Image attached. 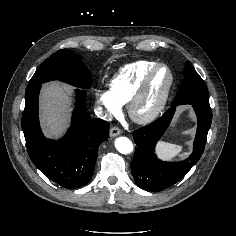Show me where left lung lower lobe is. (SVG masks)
I'll list each match as a JSON object with an SVG mask.
<instances>
[{
	"mask_svg": "<svg viewBox=\"0 0 236 236\" xmlns=\"http://www.w3.org/2000/svg\"><path fill=\"white\" fill-rule=\"evenodd\" d=\"M192 105L197 115L198 127L193 152L184 161L163 162L154 153L155 145L167 129L177 105L172 104L155 122L132 133L136 147L130 167L135 182L141 189L159 192L169 188L181 180L202 156L212 122V111L210 107Z\"/></svg>",
	"mask_w": 236,
	"mask_h": 236,
	"instance_id": "left-lung-lower-lobe-1",
	"label": "left lung lower lobe"
}]
</instances>
